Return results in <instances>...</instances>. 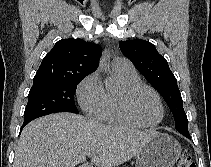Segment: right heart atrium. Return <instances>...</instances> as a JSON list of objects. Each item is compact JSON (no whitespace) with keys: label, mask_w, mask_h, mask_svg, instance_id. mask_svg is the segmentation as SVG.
<instances>
[{"label":"right heart atrium","mask_w":211,"mask_h":167,"mask_svg":"<svg viewBox=\"0 0 211 167\" xmlns=\"http://www.w3.org/2000/svg\"><path fill=\"white\" fill-rule=\"evenodd\" d=\"M105 90L102 86L98 72L87 75L77 87V99L82 110L97 116L104 104Z\"/></svg>","instance_id":"1"}]
</instances>
